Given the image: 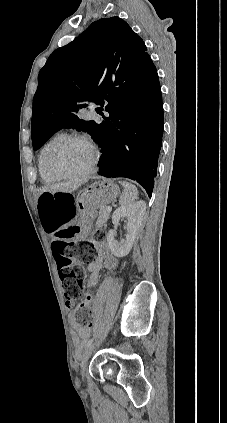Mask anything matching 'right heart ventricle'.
I'll list each match as a JSON object with an SVG mask.
<instances>
[{
  "instance_id": "e07e8e85",
  "label": "right heart ventricle",
  "mask_w": 227,
  "mask_h": 423,
  "mask_svg": "<svg viewBox=\"0 0 227 423\" xmlns=\"http://www.w3.org/2000/svg\"><path fill=\"white\" fill-rule=\"evenodd\" d=\"M64 136H65L64 133H57L53 135L49 140H47L43 144V146L41 147L39 151L38 158H37V165H38L39 175L44 184H53L60 180L59 177H57L56 175H54L48 170L45 160H46V153L50 149V147Z\"/></svg>"
}]
</instances>
